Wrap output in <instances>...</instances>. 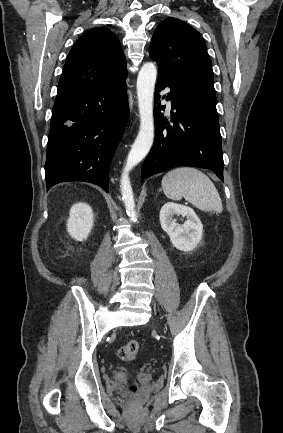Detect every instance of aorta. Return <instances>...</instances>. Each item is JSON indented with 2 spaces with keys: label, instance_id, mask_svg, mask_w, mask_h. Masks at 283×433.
Instances as JSON below:
<instances>
[{
  "label": "aorta",
  "instance_id": "aorta-1",
  "mask_svg": "<svg viewBox=\"0 0 283 433\" xmlns=\"http://www.w3.org/2000/svg\"><path fill=\"white\" fill-rule=\"evenodd\" d=\"M157 69L155 64L145 63L137 77V100L140 116L138 135L128 154L120 180L122 200L131 220L137 217L129 172L149 153L154 140L153 97Z\"/></svg>",
  "mask_w": 283,
  "mask_h": 433
}]
</instances>
